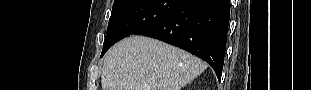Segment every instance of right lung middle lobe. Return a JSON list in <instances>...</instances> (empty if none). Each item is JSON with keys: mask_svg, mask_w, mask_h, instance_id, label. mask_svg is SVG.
Returning <instances> with one entry per match:
<instances>
[{"mask_svg": "<svg viewBox=\"0 0 311 90\" xmlns=\"http://www.w3.org/2000/svg\"><path fill=\"white\" fill-rule=\"evenodd\" d=\"M184 0H115L101 56L117 41L137 34L174 11Z\"/></svg>", "mask_w": 311, "mask_h": 90, "instance_id": "dd1d6c3e", "label": "right lung middle lobe"}]
</instances>
